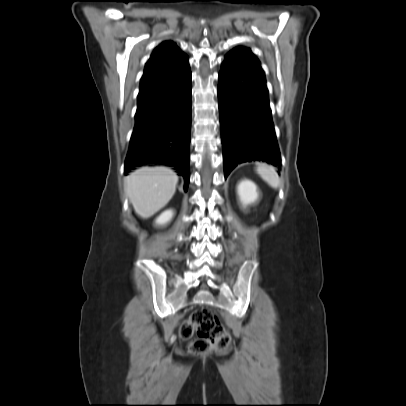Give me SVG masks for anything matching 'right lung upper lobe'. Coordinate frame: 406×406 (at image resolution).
I'll return each instance as SVG.
<instances>
[{
	"label": "right lung upper lobe",
	"mask_w": 406,
	"mask_h": 406,
	"mask_svg": "<svg viewBox=\"0 0 406 406\" xmlns=\"http://www.w3.org/2000/svg\"><path fill=\"white\" fill-rule=\"evenodd\" d=\"M187 66H189L188 57L174 42L161 43L146 64L139 93L171 80Z\"/></svg>",
	"instance_id": "right-lung-upper-lobe-1"
}]
</instances>
